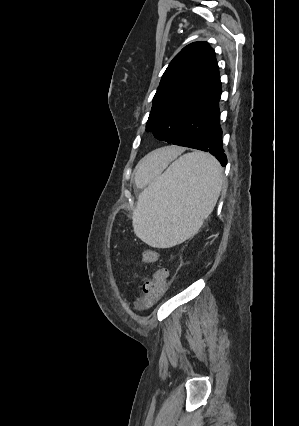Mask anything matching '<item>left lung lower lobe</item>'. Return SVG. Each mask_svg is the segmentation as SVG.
<instances>
[{
  "instance_id": "left-lung-lower-lobe-1",
  "label": "left lung lower lobe",
  "mask_w": 299,
  "mask_h": 426,
  "mask_svg": "<svg viewBox=\"0 0 299 426\" xmlns=\"http://www.w3.org/2000/svg\"><path fill=\"white\" fill-rule=\"evenodd\" d=\"M221 89L198 109L171 142L174 145L208 151L226 166L227 158L222 147V130L219 125Z\"/></svg>"
}]
</instances>
